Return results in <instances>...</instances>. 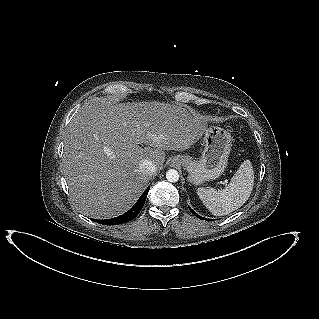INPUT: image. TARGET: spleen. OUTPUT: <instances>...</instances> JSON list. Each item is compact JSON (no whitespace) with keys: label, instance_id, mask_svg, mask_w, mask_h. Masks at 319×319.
<instances>
[{"label":"spleen","instance_id":"1","mask_svg":"<svg viewBox=\"0 0 319 319\" xmlns=\"http://www.w3.org/2000/svg\"><path fill=\"white\" fill-rule=\"evenodd\" d=\"M254 186V171L245 160L223 190L198 188L197 195L206 208L216 216L226 215L240 208L249 199Z\"/></svg>","mask_w":319,"mask_h":319}]
</instances>
